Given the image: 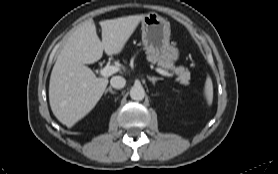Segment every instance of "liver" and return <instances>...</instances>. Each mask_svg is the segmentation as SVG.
<instances>
[{"label": "liver", "mask_w": 278, "mask_h": 174, "mask_svg": "<svg viewBox=\"0 0 278 174\" xmlns=\"http://www.w3.org/2000/svg\"><path fill=\"white\" fill-rule=\"evenodd\" d=\"M145 15H130L100 21L102 41L93 20L82 23L68 38L57 57L49 83V102L55 117L68 128L85 117L97 104L107 78L96 77L85 64L118 54Z\"/></svg>", "instance_id": "1"}]
</instances>
